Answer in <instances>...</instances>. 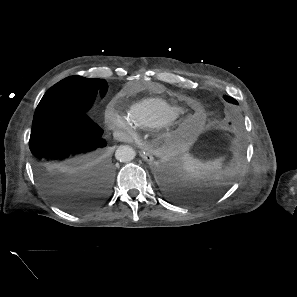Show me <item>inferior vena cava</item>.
Instances as JSON below:
<instances>
[{"mask_svg":"<svg viewBox=\"0 0 297 297\" xmlns=\"http://www.w3.org/2000/svg\"><path fill=\"white\" fill-rule=\"evenodd\" d=\"M119 136H120L121 138H124V137H125V135H124L123 133H120V132H119Z\"/></svg>","mask_w":297,"mask_h":297,"instance_id":"obj_1","label":"inferior vena cava"}]
</instances>
